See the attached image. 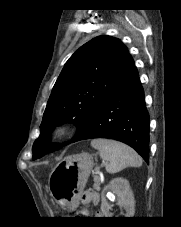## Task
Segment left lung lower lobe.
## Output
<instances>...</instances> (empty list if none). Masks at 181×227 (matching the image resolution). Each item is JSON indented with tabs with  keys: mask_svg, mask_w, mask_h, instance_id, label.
I'll return each mask as SVG.
<instances>
[{
	"mask_svg": "<svg viewBox=\"0 0 181 227\" xmlns=\"http://www.w3.org/2000/svg\"><path fill=\"white\" fill-rule=\"evenodd\" d=\"M109 138L126 143L149 160V115L136 67L111 92L79 140Z\"/></svg>",
	"mask_w": 181,
	"mask_h": 227,
	"instance_id": "0a47b994",
	"label": "left lung lower lobe"
}]
</instances>
